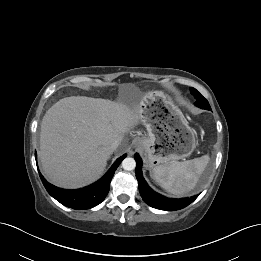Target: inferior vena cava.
<instances>
[{
    "label": "inferior vena cava",
    "mask_w": 261,
    "mask_h": 261,
    "mask_svg": "<svg viewBox=\"0 0 261 261\" xmlns=\"http://www.w3.org/2000/svg\"><path fill=\"white\" fill-rule=\"evenodd\" d=\"M120 144V141L118 139L114 140L111 144H110V147L113 149V150H116L117 147L119 146Z\"/></svg>",
    "instance_id": "1"
}]
</instances>
